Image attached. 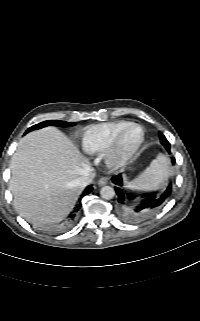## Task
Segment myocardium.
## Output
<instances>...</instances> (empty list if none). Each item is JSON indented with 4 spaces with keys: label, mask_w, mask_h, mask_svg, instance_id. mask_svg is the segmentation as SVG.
I'll return each instance as SVG.
<instances>
[{
    "label": "myocardium",
    "mask_w": 200,
    "mask_h": 321,
    "mask_svg": "<svg viewBox=\"0 0 200 321\" xmlns=\"http://www.w3.org/2000/svg\"><path fill=\"white\" fill-rule=\"evenodd\" d=\"M135 127L141 130V137L132 147L124 149L122 146L124 137L130 129ZM144 140V128L137 123L128 124L117 134L110 146L105 151L104 158L106 166L111 170H119L124 168L141 148Z\"/></svg>",
    "instance_id": "obj_1"
}]
</instances>
